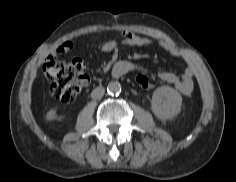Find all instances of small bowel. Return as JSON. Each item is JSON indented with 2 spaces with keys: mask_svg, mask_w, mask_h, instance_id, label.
I'll return each mask as SVG.
<instances>
[{
  "mask_svg": "<svg viewBox=\"0 0 236 182\" xmlns=\"http://www.w3.org/2000/svg\"><path fill=\"white\" fill-rule=\"evenodd\" d=\"M129 45L137 47H149L152 45V41L146 37L136 35L130 31H122L121 38L119 40H108L103 43L102 50L104 52H111L117 49L119 46ZM159 47L174 57L184 58L185 54L176 48V46L170 41H160ZM73 45L70 41H64L61 43L54 54H65L72 49ZM194 74L195 70L193 66L189 65L181 75H177L171 72H160L159 78L174 86V88L184 96H190L194 89Z\"/></svg>",
  "mask_w": 236,
  "mask_h": 182,
  "instance_id": "1",
  "label": "small bowel"
}]
</instances>
